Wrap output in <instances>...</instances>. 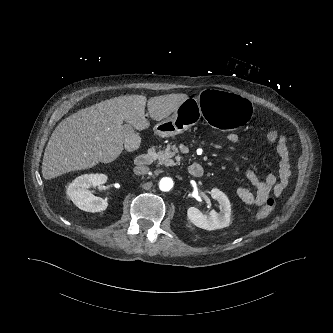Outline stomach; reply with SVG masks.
I'll list each match as a JSON object with an SVG mask.
<instances>
[{"label": "stomach", "instance_id": "stomach-1", "mask_svg": "<svg viewBox=\"0 0 333 333\" xmlns=\"http://www.w3.org/2000/svg\"><path fill=\"white\" fill-rule=\"evenodd\" d=\"M198 110L208 125L220 130L243 127L253 115L252 105L245 97L210 87L201 92L197 101L187 98L172 116L156 124L155 134L164 138L186 131L197 120Z\"/></svg>", "mask_w": 333, "mask_h": 333}]
</instances>
